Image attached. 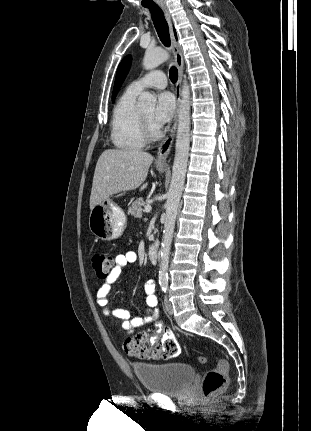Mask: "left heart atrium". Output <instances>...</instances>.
<instances>
[{
    "label": "left heart atrium",
    "mask_w": 311,
    "mask_h": 431,
    "mask_svg": "<svg viewBox=\"0 0 311 431\" xmlns=\"http://www.w3.org/2000/svg\"><path fill=\"white\" fill-rule=\"evenodd\" d=\"M176 107V99L172 93L165 91L159 94L157 107L153 115V124L156 129L162 128L172 120Z\"/></svg>",
    "instance_id": "obj_1"
}]
</instances>
